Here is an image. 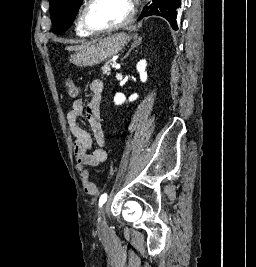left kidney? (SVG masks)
Here are the masks:
<instances>
[{
    "instance_id": "obj_1",
    "label": "left kidney",
    "mask_w": 256,
    "mask_h": 267,
    "mask_svg": "<svg viewBox=\"0 0 256 267\" xmlns=\"http://www.w3.org/2000/svg\"><path fill=\"white\" fill-rule=\"evenodd\" d=\"M146 66L147 62L146 60H140L136 66V70L139 72L140 80L141 82H147V72H146ZM138 96L137 94H132V96H129L128 102H134V100H137ZM114 102L116 106H121V104H124L126 102V96L124 94H121V92H117L114 96Z\"/></svg>"
}]
</instances>
